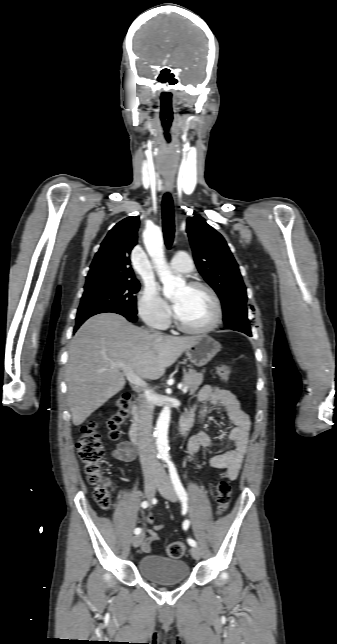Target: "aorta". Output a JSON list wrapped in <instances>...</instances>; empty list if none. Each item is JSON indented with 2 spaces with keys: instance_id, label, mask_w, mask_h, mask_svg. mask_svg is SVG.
<instances>
[{
  "instance_id": "obj_1",
  "label": "aorta",
  "mask_w": 337,
  "mask_h": 644,
  "mask_svg": "<svg viewBox=\"0 0 337 644\" xmlns=\"http://www.w3.org/2000/svg\"><path fill=\"white\" fill-rule=\"evenodd\" d=\"M144 243L163 284V294L167 297L174 295L179 288L185 286V280L179 276H174L169 270L165 260L160 230L154 228L147 231L144 235ZM170 416L171 410L168 406H165L158 417L155 428L156 447L159 455L163 458L169 457L168 428Z\"/></svg>"
}]
</instances>
